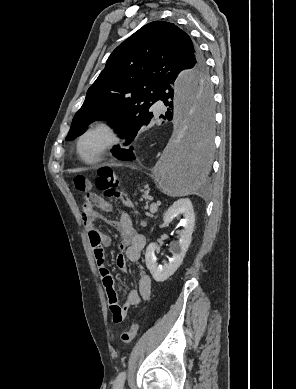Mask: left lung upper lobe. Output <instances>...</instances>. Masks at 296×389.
Returning <instances> with one entry per match:
<instances>
[{"label": "left lung upper lobe", "instance_id": "1", "mask_svg": "<svg viewBox=\"0 0 296 389\" xmlns=\"http://www.w3.org/2000/svg\"><path fill=\"white\" fill-rule=\"evenodd\" d=\"M184 69H191V78L203 76L210 86L204 59L187 33L169 22L144 25L111 53L66 139L80 136L99 119L111 121L121 138H134L153 118L151 106L158 100L161 85L175 80Z\"/></svg>", "mask_w": 296, "mask_h": 389}]
</instances>
